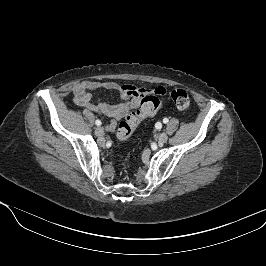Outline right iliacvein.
Here are the masks:
<instances>
[{"mask_svg":"<svg viewBox=\"0 0 266 266\" xmlns=\"http://www.w3.org/2000/svg\"><path fill=\"white\" fill-rule=\"evenodd\" d=\"M95 134H96V136H103L104 135V130H103V128L102 127H97L96 129H95Z\"/></svg>","mask_w":266,"mask_h":266,"instance_id":"obj_1","label":"right iliac vein"}]
</instances>
